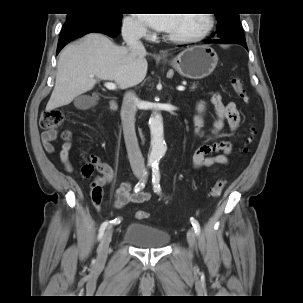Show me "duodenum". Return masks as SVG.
<instances>
[{"mask_svg": "<svg viewBox=\"0 0 303 303\" xmlns=\"http://www.w3.org/2000/svg\"><path fill=\"white\" fill-rule=\"evenodd\" d=\"M110 109L111 111H115L117 109V103L115 101H111Z\"/></svg>", "mask_w": 303, "mask_h": 303, "instance_id": "obj_1", "label": "duodenum"}]
</instances>
